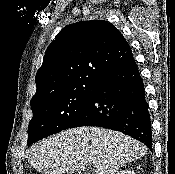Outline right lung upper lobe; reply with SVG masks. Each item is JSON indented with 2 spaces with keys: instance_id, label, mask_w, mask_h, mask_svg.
I'll list each match as a JSON object with an SVG mask.
<instances>
[{
  "instance_id": "1",
  "label": "right lung upper lobe",
  "mask_w": 175,
  "mask_h": 174,
  "mask_svg": "<svg viewBox=\"0 0 175 174\" xmlns=\"http://www.w3.org/2000/svg\"><path fill=\"white\" fill-rule=\"evenodd\" d=\"M133 59L119 30L103 20L66 26L48 47L36 74L31 104L87 85H95L107 72Z\"/></svg>"
}]
</instances>
